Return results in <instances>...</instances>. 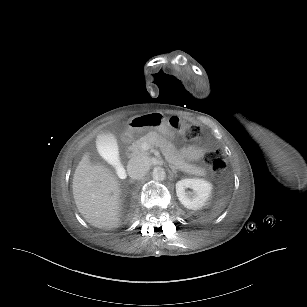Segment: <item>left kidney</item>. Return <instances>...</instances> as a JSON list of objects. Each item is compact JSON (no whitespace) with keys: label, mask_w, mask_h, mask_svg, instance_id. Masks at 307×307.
<instances>
[{"label":"left kidney","mask_w":307,"mask_h":307,"mask_svg":"<svg viewBox=\"0 0 307 307\" xmlns=\"http://www.w3.org/2000/svg\"><path fill=\"white\" fill-rule=\"evenodd\" d=\"M211 188V184L202 179L185 178L176 183V196L185 208L197 210L204 206Z\"/></svg>","instance_id":"left-kidney-1"}]
</instances>
